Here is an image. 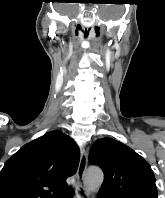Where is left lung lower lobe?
Returning a JSON list of instances; mask_svg holds the SVG:
<instances>
[{
    "mask_svg": "<svg viewBox=\"0 0 165 198\" xmlns=\"http://www.w3.org/2000/svg\"><path fill=\"white\" fill-rule=\"evenodd\" d=\"M98 198H114L113 195L105 192V191H99V195H98Z\"/></svg>",
    "mask_w": 165,
    "mask_h": 198,
    "instance_id": "1",
    "label": "left lung lower lobe"
}]
</instances>
